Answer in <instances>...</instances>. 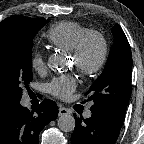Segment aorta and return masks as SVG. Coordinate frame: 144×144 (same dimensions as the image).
Instances as JSON below:
<instances>
[{
  "instance_id": "1",
  "label": "aorta",
  "mask_w": 144,
  "mask_h": 144,
  "mask_svg": "<svg viewBox=\"0 0 144 144\" xmlns=\"http://www.w3.org/2000/svg\"><path fill=\"white\" fill-rule=\"evenodd\" d=\"M48 66L54 71L62 70L64 68V61L62 57L52 55L48 59ZM75 125H76L75 119L70 114L65 113L58 118V127L63 132L73 131Z\"/></svg>"
}]
</instances>
